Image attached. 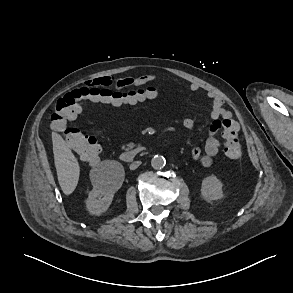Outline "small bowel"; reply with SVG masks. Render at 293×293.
Here are the masks:
<instances>
[{"label":"small bowel","mask_w":293,"mask_h":293,"mask_svg":"<svg viewBox=\"0 0 293 293\" xmlns=\"http://www.w3.org/2000/svg\"><path fill=\"white\" fill-rule=\"evenodd\" d=\"M156 79L155 75L146 74L138 77H124L114 79L110 76H103L100 78L92 79L88 81V84L94 85L97 83H104L110 86H114L117 91L131 86L144 87ZM189 88L191 91L200 90V86L197 83H190ZM158 90L153 86H147L144 90H141L139 94L131 95L128 99L111 102L109 104L120 107L125 105H136L147 100L155 99L158 96ZM206 96L211 100V118L212 122L209 126V136L206 140L204 149L198 147L193 148L191 151V157L195 161H199L201 165L208 167L212 164L214 157L218 154L220 148V141L216 137V133L222 126V121L225 119H232L233 114L231 111L225 109L223 99L214 91H207ZM83 104L81 105V111ZM80 111V112H81ZM183 126L186 129H193L195 127V121L186 116L183 119Z\"/></svg>","instance_id":"c3829d8e"}]
</instances>
